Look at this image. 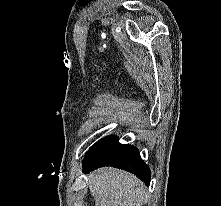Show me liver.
<instances>
[{
    "mask_svg": "<svg viewBox=\"0 0 221 206\" xmlns=\"http://www.w3.org/2000/svg\"><path fill=\"white\" fill-rule=\"evenodd\" d=\"M95 206H142L145 189L132 174L111 167L94 171L88 181Z\"/></svg>",
    "mask_w": 221,
    "mask_h": 206,
    "instance_id": "6515ba94",
    "label": "liver"
}]
</instances>
